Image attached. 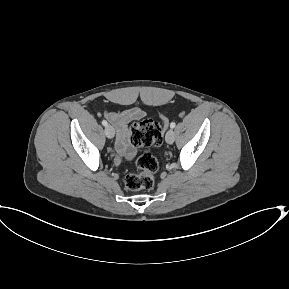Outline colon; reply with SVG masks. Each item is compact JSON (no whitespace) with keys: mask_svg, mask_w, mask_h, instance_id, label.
<instances>
[{"mask_svg":"<svg viewBox=\"0 0 289 289\" xmlns=\"http://www.w3.org/2000/svg\"><path fill=\"white\" fill-rule=\"evenodd\" d=\"M162 120L166 122L165 115L162 116ZM131 138L137 147L159 146L163 140V129L159 122L153 119H145L132 126ZM158 167V161L152 153L141 155L136 161L137 172H130L125 175V187L129 191L152 188Z\"/></svg>","mask_w":289,"mask_h":289,"instance_id":"obj_1","label":"colon"}]
</instances>
